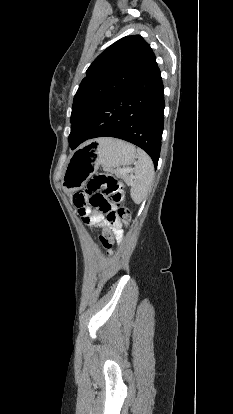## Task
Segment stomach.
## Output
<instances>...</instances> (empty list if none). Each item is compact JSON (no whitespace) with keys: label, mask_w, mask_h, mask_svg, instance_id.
<instances>
[{"label":"stomach","mask_w":233,"mask_h":414,"mask_svg":"<svg viewBox=\"0 0 233 414\" xmlns=\"http://www.w3.org/2000/svg\"><path fill=\"white\" fill-rule=\"evenodd\" d=\"M135 158L136 149L130 143L113 138L94 139L70 155L62 178L63 189L71 194L79 190L100 165L107 171H115L131 165Z\"/></svg>","instance_id":"stomach-1"}]
</instances>
